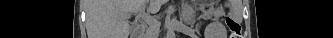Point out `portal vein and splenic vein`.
Wrapping results in <instances>:
<instances>
[{"mask_svg":"<svg viewBox=\"0 0 333 38\" xmlns=\"http://www.w3.org/2000/svg\"><path fill=\"white\" fill-rule=\"evenodd\" d=\"M139 17H141L149 25H154L155 23H157L156 20H152L151 16H147L145 14V8L144 7L140 8Z\"/></svg>","mask_w":333,"mask_h":38,"instance_id":"18ae733b","label":"portal vein and splenic vein"}]
</instances>
